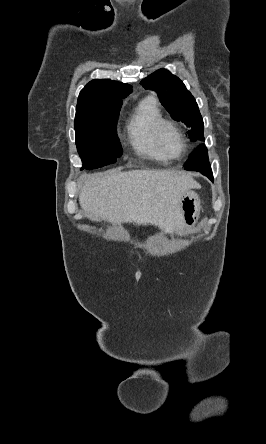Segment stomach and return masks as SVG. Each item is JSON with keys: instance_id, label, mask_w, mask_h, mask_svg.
Segmentation results:
<instances>
[{"instance_id": "0dacf381", "label": "stomach", "mask_w": 266, "mask_h": 444, "mask_svg": "<svg viewBox=\"0 0 266 444\" xmlns=\"http://www.w3.org/2000/svg\"><path fill=\"white\" fill-rule=\"evenodd\" d=\"M201 210L200 199L194 191L187 190L180 200V216L183 231L190 230L197 222Z\"/></svg>"}]
</instances>
